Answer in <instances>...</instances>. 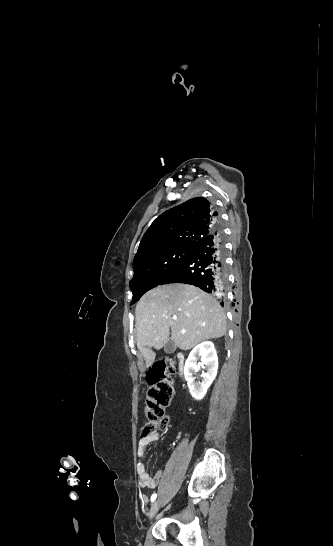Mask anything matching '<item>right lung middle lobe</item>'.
Segmentation results:
<instances>
[{
  "label": "right lung middle lobe",
  "instance_id": "obj_1",
  "mask_svg": "<svg viewBox=\"0 0 333 546\" xmlns=\"http://www.w3.org/2000/svg\"><path fill=\"white\" fill-rule=\"evenodd\" d=\"M191 251L192 247L171 248L133 266L134 276L130 281L133 292L131 304L138 301L145 292L158 286L159 282L186 259Z\"/></svg>",
  "mask_w": 333,
  "mask_h": 546
}]
</instances>
